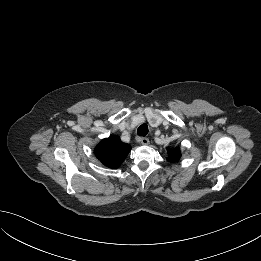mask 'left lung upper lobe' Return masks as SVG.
I'll list each match as a JSON object with an SVG mask.
<instances>
[{
	"label": "left lung upper lobe",
	"instance_id": "obj_1",
	"mask_svg": "<svg viewBox=\"0 0 261 261\" xmlns=\"http://www.w3.org/2000/svg\"><path fill=\"white\" fill-rule=\"evenodd\" d=\"M167 152L169 155L168 161L170 162H177L181 157V152L179 147L175 149L167 148Z\"/></svg>",
	"mask_w": 261,
	"mask_h": 261
}]
</instances>
